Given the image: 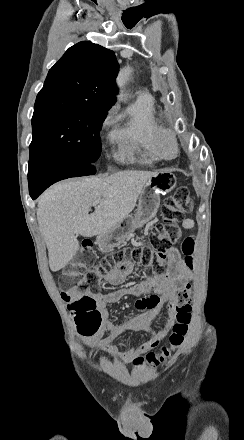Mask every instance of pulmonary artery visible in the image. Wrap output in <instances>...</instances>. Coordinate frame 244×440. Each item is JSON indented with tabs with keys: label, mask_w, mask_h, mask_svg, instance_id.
<instances>
[{
	"label": "pulmonary artery",
	"mask_w": 244,
	"mask_h": 440,
	"mask_svg": "<svg viewBox=\"0 0 244 440\" xmlns=\"http://www.w3.org/2000/svg\"><path fill=\"white\" fill-rule=\"evenodd\" d=\"M153 99L152 94L149 90H142L138 95L139 102H151Z\"/></svg>",
	"instance_id": "pulmonary-artery-1"
}]
</instances>
